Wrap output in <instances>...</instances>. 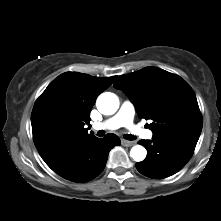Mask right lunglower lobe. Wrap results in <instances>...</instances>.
Segmentation results:
<instances>
[{
  "label": "right lung lower lobe",
  "instance_id": "right-lung-lower-lobe-1",
  "mask_svg": "<svg viewBox=\"0 0 221 221\" xmlns=\"http://www.w3.org/2000/svg\"><path fill=\"white\" fill-rule=\"evenodd\" d=\"M115 145H120L119 137L107 134L105 138L92 137L42 158L61 177L78 183L87 182L103 171L109 151Z\"/></svg>",
  "mask_w": 221,
  "mask_h": 221
}]
</instances>
